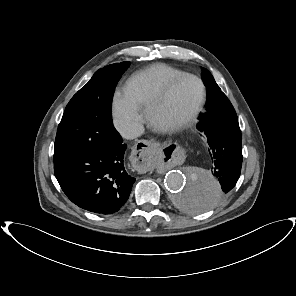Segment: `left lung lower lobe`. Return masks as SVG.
Returning a JSON list of instances; mask_svg holds the SVG:
<instances>
[{
  "label": "left lung lower lobe",
  "instance_id": "0a47b994",
  "mask_svg": "<svg viewBox=\"0 0 296 296\" xmlns=\"http://www.w3.org/2000/svg\"><path fill=\"white\" fill-rule=\"evenodd\" d=\"M198 130L212 160V173L220 188L192 184L181 203L185 209L201 212L226 197L236 185L242 166V138L236 112L226 95L217 99L199 117Z\"/></svg>",
  "mask_w": 296,
  "mask_h": 296
}]
</instances>
